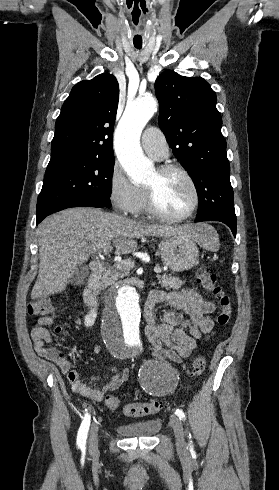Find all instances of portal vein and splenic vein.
Listing matches in <instances>:
<instances>
[{"label": "portal vein and splenic vein", "mask_w": 279, "mask_h": 490, "mask_svg": "<svg viewBox=\"0 0 279 490\" xmlns=\"http://www.w3.org/2000/svg\"><path fill=\"white\" fill-rule=\"evenodd\" d=\"M119 264H134V262H131V260H126V262H116V266H119ZM154 272H162L161 268H154Z\"/></svg>", "instance_id": "obj_1"}]
</instances>
